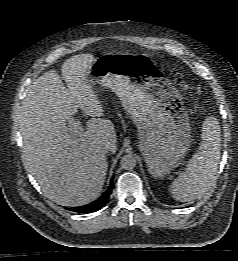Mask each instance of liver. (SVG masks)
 Here are the masks:
<instances>
[{"instance_id": "6515ba94", "label": "liver", "mask_w": 238, "mask_h": 261, "mask_svg": "<svg viewBox=\"0 0 238 261\" xmlns=\"http://www.w3.org/2000/svg\"><path fill=\"white\" fill-rule=\"evenodd\" d=\"M92 54H79L55 70L38 77L21 108L25 166L45 196L67 207L94 201L102 191L108 161L103 144L117 150L114 124L101 118L103 106L88 80ZM80 108L92 118L86 129L72 131L66 125Z\"/></svg>"}]
</instances>
